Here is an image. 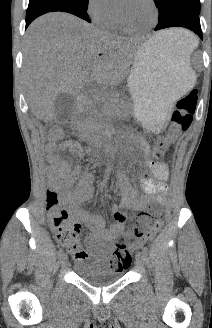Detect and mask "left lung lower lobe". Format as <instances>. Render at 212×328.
Instances as JSON below:
<instances>
[{"label": "left lung lower lobe", "instance_id": "left-lung-lower-lobe-1", "mask_svg": "<svg viewBox=\"0 0 212 328\" xmlns=\"http://www.w3.org/2000/svg\"><path fill=\"white\" fill-rule=\"evenodd\" d=\"M169 27H184L190 29L203 39L199 14L184 5H175L171 7L167 14L162 19L158 20L155 30Z\"/></svg>", "mask_w": 212, "mask_h": 328}]
</instances>
